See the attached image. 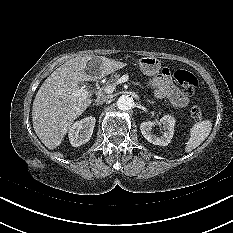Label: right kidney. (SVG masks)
Returning <instances> with one entry per match:
<instances>
[{"label":"right kidney","mask_w":233,"mask_h":233,"mask_svg":"<svg viewBox=\"0 0 233 233\" xmlns=\"http://www.w3.org/2000/svg\"><path fill=\"white\" fill-rule=\"evenodd\" d=\"M96 119L95 117H86L76 121L69 129V140L72 146L78 147L88 142L92 136Z\"/></svg>","instance_id":"1"}]
</instances>
